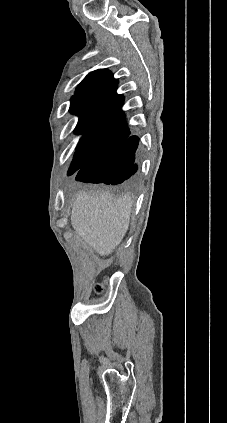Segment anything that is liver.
<instances>
[{"mask_svg":"<svg viewBox=\"0 0 227 423\" xmlns=\"http://www.w3.org/2000/svg\"><path fill=\"white\" fill-rule=\"evenodd\" d=\"M132 198L110 192H78L71 211V225L98 255H110L129 229Z\"/></svg>","mask_w":227,"mask_h":423,"instance_id":"6515ba94","label":"liver"}]
</instances>
